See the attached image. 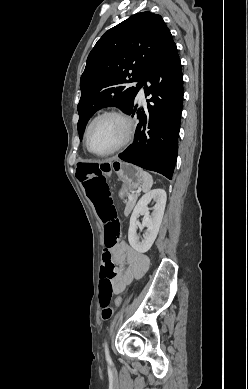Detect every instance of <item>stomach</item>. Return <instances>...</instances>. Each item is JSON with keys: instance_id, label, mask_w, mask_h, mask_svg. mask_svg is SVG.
Masks as SVG:
<instances>
[{"instance_id": "1", "label": "stomach", "mask_w": 248, "mask_h": 389, "mask_svg": "<svg viewBox=\"0 0 248 389\" xmlns=\"http://www.w3.org/2000/svg\"><path fill=\"white\" fill-rule=\"evenodd\" d=\"M122 184L119 196L124 197L128 191L137 189L142 183L141 169L129 163L118 162L112 165Z\"/></svg>"}]
</instances>
